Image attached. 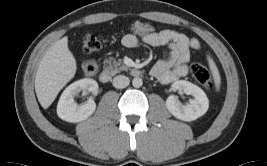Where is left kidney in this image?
I'll list each match as a JSON object with an SVG mask.
<instances>
[{
  "label": "left kidney",
  "mask_w": 267,
  "mask_h": 166,
  "mask_svg": "<svg viewBox=\"0 0 267 166\" xmlns=\"http://www.w3.org/2000/svg\"><path fill=\"white\" fill-rule=\"evenodd\" d=\"M173 90L183 91L194 97L193 100L182 104L175 95H170L166 100L168 111L176 118L183 121H193L203 116L209 108V100L204 91L185 80H178L172 84Z\"/></svg>",
  "instance_id": "obj_1"
}]
</instances>
